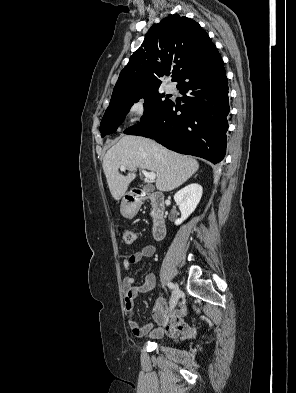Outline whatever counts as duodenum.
<instances>
[{"mask_svg": "<svg viewBox=\"0 0 296 393\" xmlns=\"http://www.w3.org/2000/svg\"><path fill=\"white\" fill-rule=\"evenodd\" d=\"M146 196H149L151 203L153 237L155 240L161 241L166 236V205L164 195L158 191L147 194L142 189H135L129 194L127 202L132 210H136Z\"/></svg>", "mask_w": 296, "mask_h": 393, "instance_id": "1", "label": "duodenum"}]
</instances>
